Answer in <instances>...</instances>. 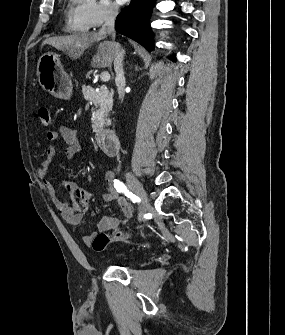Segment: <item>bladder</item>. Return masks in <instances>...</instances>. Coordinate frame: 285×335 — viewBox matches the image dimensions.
Returning a JSON list of instances; mask_svg holds the SVG:
<instances>
[{
	"label": "bladder",
	"mask_w": 285,
	"mask_h": 335,
	"mask_svg": "<svg viewBox=\"0 0 285 335\" xmlns=\"http://www.w3.org/2000/svg\"><path fill=\"white\" fill-rule=\"evenodd\" d=\"M138 258V255L136 254V259Z\"/></svg>",
	"instance_id": "bladder-1"
}]
</instances>
